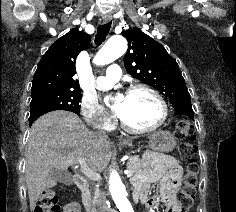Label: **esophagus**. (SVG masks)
<instances>
[{
	"label": "esophagus",
	"mask_w": 236,
	"mask_h": 212,
	"mask_svg": "<svg viewBox=\"0 0 236 212\" xmlns=\"http://www.w3.org/2000/svg\"><path fill=\"white\" fill-rule=\"evenodd\" d=\"M112 20V15L111 14H106V15H104V17H103V22L104 23H108V22H110Z\"/></svg>",
	"instance_id": "1"
}]
</instances>
